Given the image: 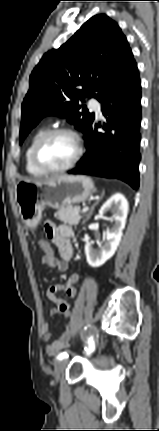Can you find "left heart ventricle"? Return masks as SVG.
Returning <instances> with one entry per match:
<instances>
[{"mask_svg": "<svg viewBox=\"0 0 159 431\" xmlns=\"http://www.w3.org/2000/svg\"><path fill=\"white\" fill-rule=\"evenodd\" d=\"M76 153L73 138L67 134H59L48 139L40 150V159L46 165L59 168L68 164Z\"/></svg>", "mask_w": 159, "mask_h": 431, "instance_id": "left-heart-ventricle-1", "label": "left heart ventricle"}]
</instances>
